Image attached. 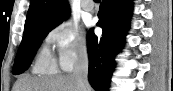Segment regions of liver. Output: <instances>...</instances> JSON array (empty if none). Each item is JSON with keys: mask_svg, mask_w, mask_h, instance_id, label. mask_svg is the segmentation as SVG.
Instances as JSON below:
<instances>
[{"mask_svg": "<svg viewBox=\"0 0 173 91\" xmlns=\"http://www.w3.org/2000/svg\"><path fill=\"white\" fill-rule=\"evenodd\" d=\"M72 75L31 77L22 76L17 80L13 91H79ZM88 91H92L89 86Z\"/></svg>", "mask_w": 173, "mask_h": 91, "instance_id": "obj_1", "label": "liver"}]
</instances>
